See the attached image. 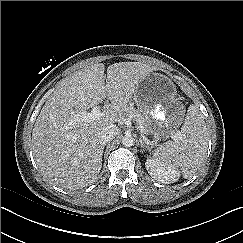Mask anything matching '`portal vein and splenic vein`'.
<instances>
[{
  "instance_id": "1",
  "label": "portal vein and splenic vein",
  "mask_w": 243,
  "mask_h": 243,
  "mask_svg": "<svg viewBox=\"0 0 243 243\" xmlns=\"http://www.w3.org/2000/svg\"><path fill=\"white\" fill-rule=\"evenodd\" d=\"M100 106H95L92 108L91 112L82 113L81 119L85 122H91L97 120L103 116Z\"/></svg>"
}]
</instances>
